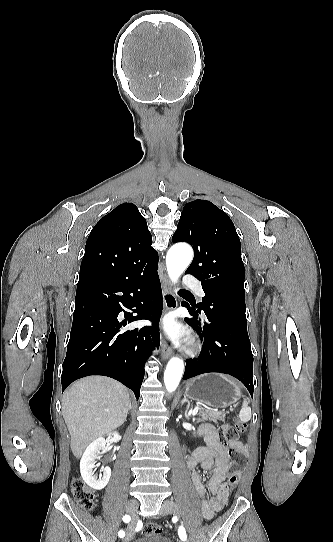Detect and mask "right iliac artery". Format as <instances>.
<instances>
[{
    "label": "right iliac artery",
    "instance_id": "obj_1",
    "mask_svg": "<svg viewBox=\"0 0 333 542\" xmlns=\"http://www.w3.org/2000/svg\"><path fill=\"white\" fill-rule=\"evenodd\" d=\"M130 519H131V518H130L129 515H125V516L123 517V521L126 522V523L129 522ZM118 536H119L120 538H123V537L125 536V532L122 531V530L119 531Z\"/></svg>",
    "mask_w": 333,
    "mask_h": 542
}]
</instances>
